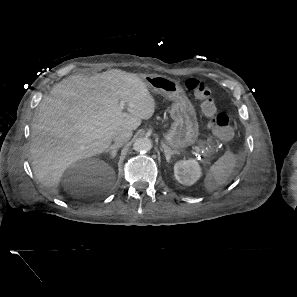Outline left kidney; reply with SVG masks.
<instances>
[{
	"label": "left kidney",
	"instance_id": "left-kidney-1",
	"mask_svg": "<svg viewBox=\"0 0 297 297\" xmlns=\"http://www.w3.org/2000/svg\"><path fill=\"white\" fill-rule=\"evenodd\" d=\"M174 175L179 183L190 186L202 176V171L198 161L182 160L174 165Z\"/></svg>",
	"mask_w": 297,
	"mask_h": 297
}]
</instances>
